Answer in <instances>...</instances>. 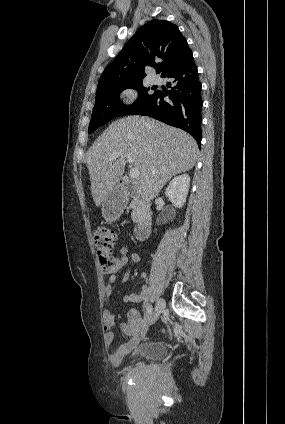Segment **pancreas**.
<instances>
[{
  "label": "pancreas",
  "instance_id": "pancreas-1",
  "mask_svg": "<svg viewBox=\"0 0 285 424\" xmlns=\"http://www.w3.org/2000/svg\"><path fill=\"white\" fill-rule=\"evenodd\" d=\"M130 208L133 209L132 214H131V218L134 222H137L138 218H139V213H140L139 202L138 201H132L131 204H130Z\"/></svg>",
  "mask_w": 285,
  "mask_h": 424
}]
</instances>
